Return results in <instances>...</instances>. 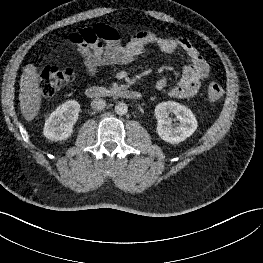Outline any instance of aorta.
I'll list each match as a JSON object with an SVG mask.
<instances>
[{"instance_id":"aorta-1","label":"aorta","mask_w":263,"mask_h":263,"mask_svg":"<svg viewBox=\"0 0 263 263\" xmlns=\"http://www.w3.org/2000/svg\"><path fill=\"white\" fill-rule=\"evenodd\" d=\"M116 114L122 116L128 112V106L124 102H119L115 105Z\"/></svg>"}]
</instances>
